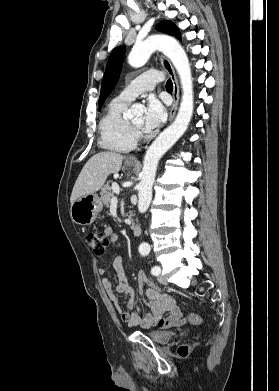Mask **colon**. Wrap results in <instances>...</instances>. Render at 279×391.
<instances>
[{"label": "colon", "mask_w": 279, "mask_h": 391, "mask_svg": "<svg viewBox=\"0 0 279 391\" xmlns=\"http://www.w3.org/2000/svg\"><path fill=\"white\" fill-rule=\"evenodd\" d=\"M85 240L97 255H103L109 246L108 236L104 232L89 231L85 235ZM187 319L195 324H200L202 322L201 316L197 314H189ZM189 350V346L183 345L179 348L178 353L181 356H186Z\"/></svg>", "instance_id": "obj_1"}]
</instances>
